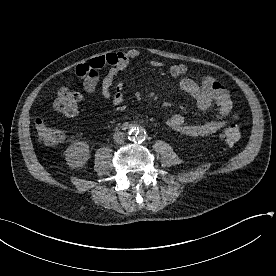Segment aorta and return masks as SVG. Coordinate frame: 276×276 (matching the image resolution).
<instances>
[{
  "instance_id": "1",
  "label": "aorta",
  "mask_w": 276,
  "mask_h": 276,
  "mask_svg": "<svg viewBox=\"0 0 276 276\" xmlns=\"http://www.w3.org/2000/svg\"><path fill=\"white\" fill-rule=\"evenodd\" d=\"M128 135L132 140L137 141V142L144 141L147 136L146 131L144 129L135 127V126L131 127L128 130Z\"/></svg>"
}]
</instances>
